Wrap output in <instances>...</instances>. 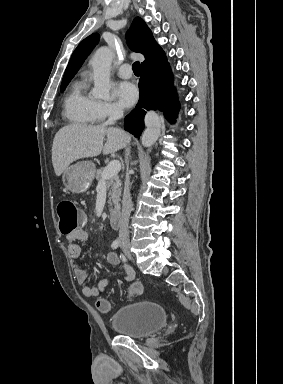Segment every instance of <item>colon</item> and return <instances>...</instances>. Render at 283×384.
I'll list each match as a JSON object with an SVG mask.
<instances>
[{
  "mask_svg": "<svg viewBox=\"0 0 283 384\" xmlns=\"http://www.w3.org/2000/svg\"><path fill=\"white\" fill-rule=\"evenodd\" d=\"M57 213L60 219V230L63 234H70L84 224V214L70 199L60 201L57 206ZM141 292L142 288L138 284H132L129 287L128 295L134 298L139 296ZM96 305L97 309L102 313H108L111 309L109 301L104 298L98 299Z\"/></svg>",
  "mask_w": 283,
  "mask_h": 384,
  "instance_id": "1",
  "label": "colon"
}]
</instances>
